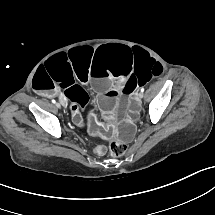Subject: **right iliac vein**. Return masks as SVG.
<instances>
[{"instance_id": "63e3f726", "label": "right iliac vein", "mask_w": 215, "mask_h": 215, "mask_svg": "<svg viewBox=\"0 0 215 215\" xmlns=\"http://www.w3.org/2000/svg\"><path fill=\"white\" fill-rule=\"evenodd\" d=\"M55 107H56V108H60V107H61L60 103L56 102V103H55Z\"/></svg>"}]
</instances>
